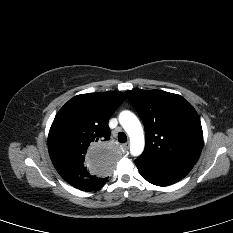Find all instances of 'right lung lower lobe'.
<instances>
[{"label":"right lung lower lobe","mask_w":233,"mask_h":233,"mask_svg":"<svg viewBox=\"0 0 233 233\" xmlns=\"http://www.w3.org/2000/svg\"><path fill=\"white\" fill-rule=\"evenodd\" d=\"M108 178H85L77 181L70 182L72 186L83 191H93L103 186Z\"/></svg>","instance_id":"obj_1"}]
</instances>
